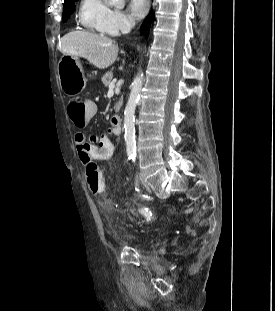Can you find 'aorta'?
Here are the masks:
<instances>
[{"instance_id": "obj_1", "label": "aorta", "mask_w": 275, "mask_h": 311, "mask_svg": "<svg viewBox=\"0 0 275 311\" xmlns=\"http://www.w3.org/2000/svg\"><path fill=\"white\" fill-rule=\"evenodd\" d=\"M108 3L112 6H115L117 8H123L125 5V0H107ZM144 80L143 73H139L133 83H132V89L130 92V96L127 102V105L125 107L124 111V130H125V142H126V148L127 152L134 153L136 146H135V109L136 105L140 96V92L142 89Z\"/></svg>"}]
</instances>
